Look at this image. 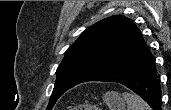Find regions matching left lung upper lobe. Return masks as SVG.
I'll return each instance as SVG.
<instances>
[{"instance_id":"5c2ea615","label":"left lung upper lobe","mask_w":171,"mask_h":110,"mask_svg":"<svg viewBox=\"0 0 171 110\" xmlns=\"http://www.w3.org/2000/svg\"><path fill=\"white\" fill-rule=\"evenodd\" d=\"M143 42L135 23L124 16H111L87 28L66 50L57 68L47 110L64 92L118 65Z\"/></svg>"}]
</instances>
